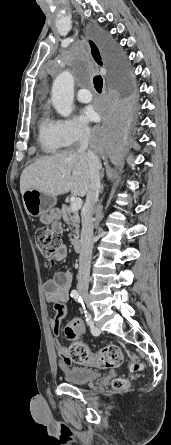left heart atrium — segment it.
I'll return each instance as SVG.
<instances>
[{
	"label": "left heart atrium",
	"mask_w": 171,
	"mask_h": 445,
	"mask_svg": "<svg viewBox=\"0 0 171 445\" xmlns=\"http://www.w3.org/2000/svg\"><path fill=\"white\" fill-rule=\"evenodd\" d=\"M82 118L85 121L92 122L97 120L98 114L92 107H86L82 112Z\"/></svg>",
	"instance_id": "39dd6f15"
}]
</instances>
